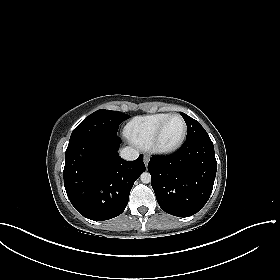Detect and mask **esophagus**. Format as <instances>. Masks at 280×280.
<instances>
[{"instance_id":"obj_1","label":"esophagus","mask_w":280,"mask_h":280,"mask_svg":"<svg viewBox=\"0 0 280 280\" xmlns=\"http://www.w3.org/2000/svg\"><path fill=\"white\" fill-rule=\"evenodd\" d=\"M149 156L148 155H144V163H145V166L147 167L148 163H149Z\"/></svg>"}]
</instances>
